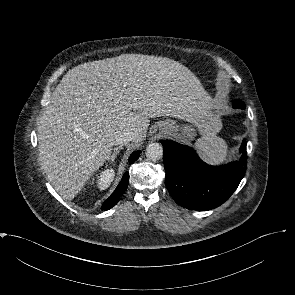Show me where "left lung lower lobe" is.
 I'll list each match as a JSON object with an SVG mask.
<instances>
[{"label":"left lung lower lobe","mask_w":295,"mask_h":295,"mask_svg":"<svg viewBox=\"0 0 295 295\" xmlns=\"http://www.w3.org/2000/svg\"><path fill=\"white\" fill-rule=\"evenodd\" d=\"M234 107L239 108L240 105ZM161 143L165 185L174 201L182 207L205 211L220 206L233 194L245 175V139L240 147V159L223 166L204 163L189 146L171 140Z\"/></svg>","instance_id":"obj_1"}]
</instances>
